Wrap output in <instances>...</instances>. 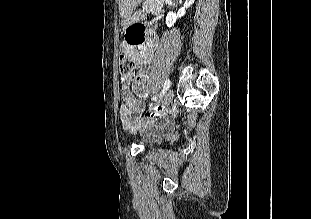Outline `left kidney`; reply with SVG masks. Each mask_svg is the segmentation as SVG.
<instances>
[{
	"label": "left kidney",
	"instance_id": "obj_1",
	"mask_svg": "<svg viewBox=\"0 0 311 219\" xmlns=\"http://www.w3.org/2000/svg\"><path fill=\"white\" fill-rule=\"evenodd\" d=\"M194 1L195 0H185V3L183 5V7L177 13H174V12H171V11L169 13H167L166 25L168 27H172L176 23V20L178 18H181L182 16L185 15L186 9L188 7H190L194 3Z\"/></svg>",
	"mask_w": 311,
	"mask_h": 219
}]
</instances>
